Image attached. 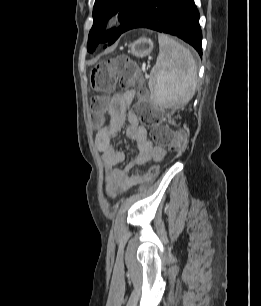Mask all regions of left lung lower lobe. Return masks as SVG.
<instances>
[{"mask_svg":"<svg viewBox=\"0 0 261 306\" xmlns=\"http://www.w3.org/2000/svg\"><path fill=\"white\" fill-rule=\"evenodd\" d=\"M134 28L177 36L202 56V33L194 0H145L124 32Z\"/></svg>","mask_w":261,"mask_h":306,"instance_id":"left-lung-lower-lobe-1","label":"left lung lower lobe"}]
</instances>
